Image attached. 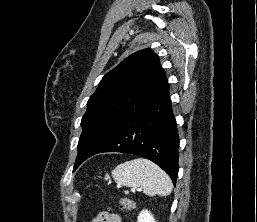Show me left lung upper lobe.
Instances as JSON below:
<instances>
[{
    "instance_id": "left-lung-upper-lobe-1",
    "label": "left lung upper lobe",
    "mask_w": 257,
    "mask_h": 222,
    "mask_svg": "<svg viewBox=\"0 0 257 222\" xmlns=\"http://www.w3.org/2000/svg\"><path fill=\"white\" fill-rule=\"evenodd\" d=\"M168 87L159 57L151 49L131 54L105 74L87 102L74 169L97 153Z\"/></svg>"
}]
</instances>
